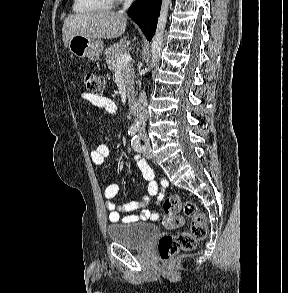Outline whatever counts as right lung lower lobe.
<instances>
[{
    "instance_id": "right-lung-lower-lobe-1",
    "label": "right lung lower lobe",
    "mask_w": 288,
    "mask_h": 293,
    "mask_svg": "<svg viewBox=\"0 0 288 293\" xmlns=\"http://www.w3.org/2000/svg\"><path fill=\"white\" fill-rule=\"evenodd\" d=\"M162 0H136L128 10V15L151 41L157 26Z\"/></svg>"
}]
</instances>
